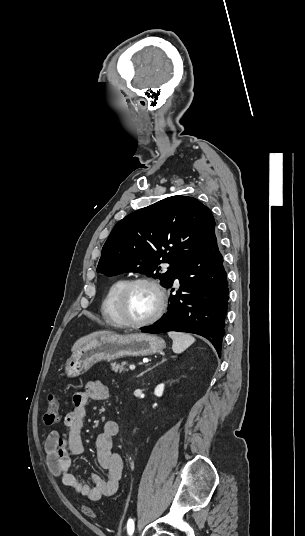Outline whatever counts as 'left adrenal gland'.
I'll list each match as a JSON object with an SVG mask.
<instances>
[{
  "mask_svg": "<svg viewBox=\"0 0 305 536\" xmlns=\"http://www.w3.org/2000/svg\"><path fill=\"white\" fill-rule=\"evenodd\" d=\"M162 362H165L164 358H163ZM162 362H160V364H162ZM156 366H158V364H156ZM153 368H155V366H153ZM153 368H150V370H153ZM147 372H149V370H147ZM143 374H146V372H142V374H140V376H143ZM137 378H139V376H137Z\"/></svg>",
  "mask_w": 305,
  "mask_h": 536,
  "instance_id": "left-adrenal-gland-1",
  "label": "left adrenal gland"
}]
</instances>
